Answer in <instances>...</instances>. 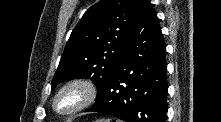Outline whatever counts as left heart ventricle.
I'll list each match as a JSON object with an SVG mask.
<instances>
[{"mask_svg":"<svg viewBox=\"0 0 221 122\" xmlns=\"http://www.w3.org/2000/svg\"><path fill=\"white\" fill-rule=\"evenodd\" d=\"M78 102V95L74 92L65 94L59 101V108L69 109L72 108Z\"/></svg>","mask_w":221,"mask_h":122,"instance_id":"left-heart-ventricle-1","label":"left heart ventricle"}]
</instances>
